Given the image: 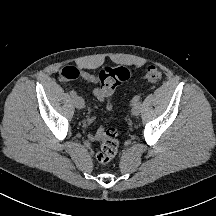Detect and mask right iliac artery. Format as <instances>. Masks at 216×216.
I'll list each match as a JSON object with an SVG mask.
<instances>
[{"mask_svg": "<svg viewBox=\"0 0 216 216\" xmlns=\"http://www.w3.org/2000/svg\"><path fill=\"white\" fill-rule=\"evenodd\" d=\"M70 95L75 98L77 96L76 92L74 90L70 91Z\"/></svg>", "mask_w": 216, "mask_h": 216, "instance_id": "1", "label": "right iliac artery"}]
</instances>
